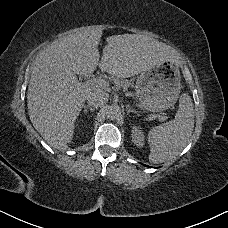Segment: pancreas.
Instances as JSON below:
<instances>
[{"mask_svg":"<svg viewBox=\"0 0 228 228\" xmlns=\"http://www.w3.org/2000/svg\"><path fill=\"white\" fill-rule=\"evenodd\" d=\"M122 83H123L124 85H129V84H130L129 81H123Z\"/></svg>","mask_w":228,"mask_h":228,"instance_id":"cf45deb5","label":"pancreas"}]
</instances>
